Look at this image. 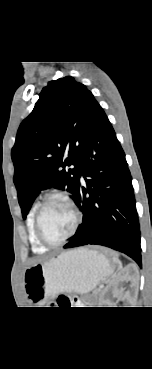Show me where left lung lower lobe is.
<instances>
[{"instance_id":"1","label":"left lung lower lobe","mask_w":152,"mask_h":369,"mask_svg":"<svg viewBox=\"0 0 152 369\" xmlns=\"http://www.w3.org/2000/svg\"><path fill=\"white\" fill-rule=\"evenodd\" d=\"M74 197L83 222L64 246L102 245L123 252L140 267V226L132 177L124 151L101 106L98 108L80 159Z\"/></svg>"}]
</instances>
